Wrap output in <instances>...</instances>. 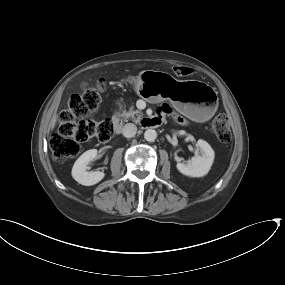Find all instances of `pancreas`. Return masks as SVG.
<instances>
[{"label": "pancreas", "mask_w": 285, "mask_h": 285, "mask_svg": "<svg viewBox=\"0 0 285 285\" xmlns=\"http://www.w3.org/2000/svg\"><path fill=\"white\" fill-rule=\"evenodd\" d=\"M119 116L124 120L127 121L128 119H132L134 122H139L142 117V112L139 110H134V106H131L130 109L127 111L123 105L119 107ZM135 115L137 117H135Z\"/></svg>", "instance_id": "obj_1"}]
</instances>
